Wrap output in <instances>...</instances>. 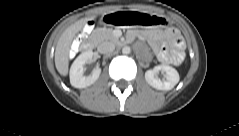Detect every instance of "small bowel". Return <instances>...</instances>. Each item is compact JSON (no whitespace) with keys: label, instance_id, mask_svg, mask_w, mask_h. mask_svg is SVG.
Returning a JSON list of instances; mask_svg holds the SVG:
<instances>
[{"label":"small bowel","instance_id":"1","mask_svg":"<svg viewBox=\"0 0 239 136\" xmlns=\"http://www.w3.org/2000/svg\"><path fill=\"white\" fill-rule=\"evenodd\" d=\"M90 26H86L85 30L89 31ZM169 37L173 40L174 49L169 51L165 45L157 48V57L164 64H177L183 60V40L176 31L169 32Z\"/></svg>","mask_w":239,"mask_h":136}]
</instances>
